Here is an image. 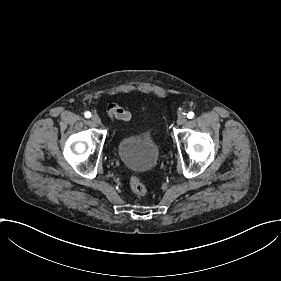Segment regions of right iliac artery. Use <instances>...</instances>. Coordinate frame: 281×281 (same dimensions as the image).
Wrapping results in <instances>:
<instances>
[{
  "label": "right iliac artery",
  "mask_w": 281,
  "mask_h": 281,
  "mask_svg": "<svg viewBox=\"0 0 281 281\" xmlns=\"http://www.w3.org/2000/svg\"><path fill=\"white\" fill-rule=\"evenodd\" d=\"M84 115H85L86 118H90L91 117V113L89 111L85 112Z\"/></svg>",
  "instance_id": "obj_1"
}]
</instances>
